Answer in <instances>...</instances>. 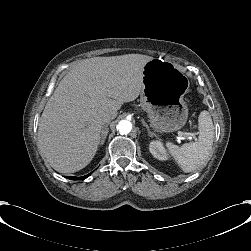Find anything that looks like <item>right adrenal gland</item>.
I'll list each match as a JSON object with an SVG mask.
<instances>
[{
    "label": "right adrenal gland",
    "mask_w": 251,
    "mask_h": 251,
    "mask_svg": "<svg viewBox=\"0 0 251 251\" xmlns=\"http://www.w3.org/2000/svg\"><path fill=\"white\" fill-rule=\"evenodd\" d=\"M109 132V128L108 125H104L102 126V130H101V138H100V144L103 145L105 142V139L108 135Z\"/></svg>",
    "instance_id": "right-adrenal-gland-1"
}]
</instances>
